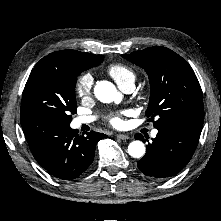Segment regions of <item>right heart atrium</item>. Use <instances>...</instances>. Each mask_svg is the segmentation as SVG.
Returning <instances> with one entry per match:
<instances>
[{"label":"right heart atrium","instance_id":"right-heart-atrium-1","mask_svg":"<svg viewBox=\"0 0 221 221\" xmlns=\"http://www.w3.org/2000/svg\"><path fill=\"white\" fill-rule=\"evenodd\" d=\"M93 77L90 73L80 75L75 83V92L81 98H86L91 94Z\"/></svg>","mask_w":221,"mask_h":221}]
</instances>
